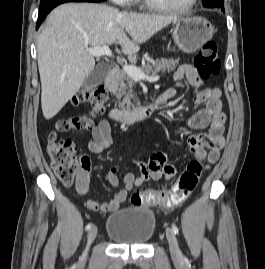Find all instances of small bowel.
I'll use <instances>...</instances> for the list:
<instances>
[{"instance_id":"obj_1","label":"small bowel","mask_w":265,"mask_h":269,"mask_svg":"<svg viewBox=\"0 0 265 269\" xmlns=\"http://www.w3.org/2000/svg\"><path fill=\"white\" fill-rule=\"evenodd\" d=\"M177 86L164 92L160 102H166L172 99L177 88L183 86L182 81L186 80L193 87L201 85V78L197 69L193 66L181 65L175 73ZM220 89L217 87H209L200 89L195 97L194 102L198 105L205 104V108L192 115L187 125L191 129L202 130L210 128V136L203 137L200 135H191L187 140L189 151L200 159L206 158L209 164L216 162L219 157V151L225 144L223 136V122L225 115L222 112V104L220 100ZM91 136L88 142V149L92 153H100L106 149L112 142L111 124L108 120H101L98 124L89 127ZM132 163L137 168L139 174L135 176L133 173H127L124 177V187L116 190L112 198L107 202H97L93 199H87L86 204L89 209L99 211L101 213H111L119 209L120 205L127 199L130 191L136 187L143 185L149 180H170L176 175V167L169 162L168 155L165 152L158 151L150 155L147 162L135 159ZM119 165H114L105 173L106 182L117 187V172ZM91 163L87 156L82 157V167L76 180V191L81 196H86L89 190Z\"/></svg>"}]
</instances>
